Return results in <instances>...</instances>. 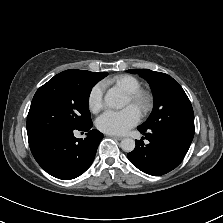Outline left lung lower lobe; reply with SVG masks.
<instances>
[{
	"instance_id": "left-lung-lower-lobe-1",
	"label": "left lung lower lobe",
	"mask_w": 223,
	"mask_h": 223,
	"mask_svg": "<svg viewBox=\"0 0 223 223\" xmlns=\"http://www.w3.org/2000/svg\"><path fill=\"white\" fill-rule=\"evenodd\" d=\"M138 130L149 143L136 140L135 149L127 157L139 170L155 176L170 172L182 162L194 136L169 128Z\"/></svg>"
}]
</instances>
